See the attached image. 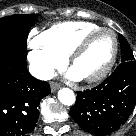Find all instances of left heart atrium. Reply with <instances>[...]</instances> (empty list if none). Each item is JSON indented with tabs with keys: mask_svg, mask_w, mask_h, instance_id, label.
Masks as SVG:
<instances>
[{
	"mask_svg": "<svg viewBox=\"0 0 136 136\" xmlns=\"http://www.w3.org/2000/svg\"><path fill=\"white\" fill-rule=\"evenodd\" d=\"M69 77L72 78V79H78V78H80L81 76H80L76 71L71 70V71L69 72Z\"/></svg>",
	"mask_w": 136,
	"mask_h": 136,
	"instance_id": "39dd6f15",
	"label": "left heart atrium"
}]
</instances>
